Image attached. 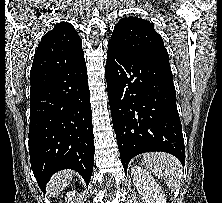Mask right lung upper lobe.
I'll return each mask as SVG.
<instances>
[{
	"label": "right lung upper lobe",
	"mask_w": 222,
	"mask_h": 203,
	"mask_svg": "<svg viewBox=\"0 0 222 203\" xmlns=\"http://www.w3.org/2000/svg\"><path fill=\"white\" fill-rule=\"evenodd\" d=\"M85 63L80 36L67 22H60L41 39L30 74Z\"/></svg>",
	"instance_id": "obj_1"
}]
</instances>
